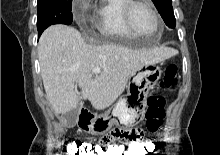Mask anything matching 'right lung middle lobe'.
Segmentation results:
<instances>
[{
	"label": "right lung middle lobe",
	"mask_w": 220,
	"mask_h": 155,
	"mask_svg": "<svg viewBox=\"0 0 220 155\" xmlns=\"http://www.w3.org/2000/svg\"><path fill=\"white\" fill-rule=\"evenodd\" d=\"M37 29L39 36L50 25L66 24L73 21L72 0H38Z\"/></svg>",
	"instance_id": "dd1d6c3e"
}]
</instances>
